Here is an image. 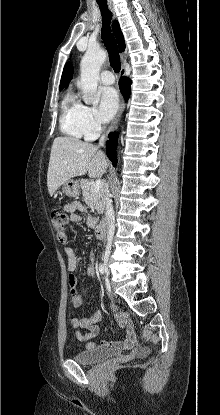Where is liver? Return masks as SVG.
<instances>
[{
	"label": "liver",
	"instance_id": "obj_1",
	"mask_svg": "<svg viewBox=\"0 0 220 415\" xmlns=\"http://www.w3.org/2000/svg\"><path fill=\"white\" fill-rule=\"evenodd\" d=\"M108 167L105 154L95 145L73 137H57L51 148L47 187L50 196L73 177H101Z\"/></svg>",
	"mask_w": 220,
	"mask_h": 415
}]
</instances>
